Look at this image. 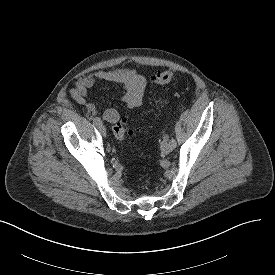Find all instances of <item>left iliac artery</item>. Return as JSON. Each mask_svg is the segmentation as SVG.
I'll use <instances>...</instances> for the list:
<instances>
[{
    "label": "left iliac artery",
    "mask_w": 275,
    "mask_h": 275,
    "mask_svg": "<svg viewBox=\"0 0 275 275\" xmlns=\"http://www.w3.org/2000/svg\"><path fill=\"white\" fill-rule=\"evenodd\" d=\"M170 143L172 144L173 148L176 147V141L173 137L171 138Z\"/></svg>",
    "instance_id": "obj_1"
}]
</instances>
